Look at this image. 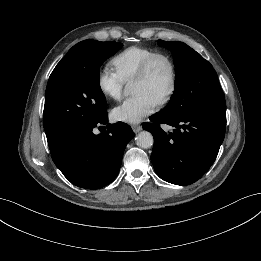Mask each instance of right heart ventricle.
I'll use <instances>...</instances> for the list:
<instances>
[{
	"label": "right heart ventricle",
	"instance_id": "right-heart-ventricle-1",
	"mask_svg": "<svg viewBox=\"0 0 261 261\" xmlns=\"http://www.w3.org/2000/svg\"><path fill=\"white\" fill-rule=\"evenodd\" d=\"M155 53L157 51L152 48L131 46L114 56L111 65L124 82L130 81L134 79L144 62Z\"/></svg>",
	"mask_w": 261,
	"mask_h": 261
}]
</instances>
